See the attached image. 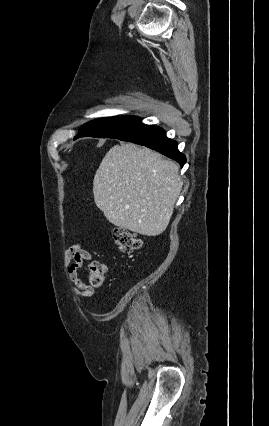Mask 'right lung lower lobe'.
I'll return each mask as SVG.
<instances>
[{"mask_svg": "<svg viewBox=\"0 0 269 426\" xmlns=\"http://www.w3.org/2000/svg\"><path fill=\"white\" fill-rule=\"evenodd\" d=\"M118 139L151 148L177 161L181 167L186 162L185 155L178 150L177 142L167 138L164 130L160 127L150 126L142 123L134 131Z\"/></svg>", "mask_w": 269, "mask_h": 426, "instance_id": "right-lung-lower-lobe-1", "label": "right lung lower lobe"}]
</instances>
